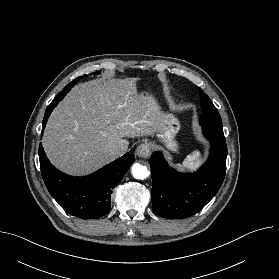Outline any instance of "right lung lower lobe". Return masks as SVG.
Instances as JSON below:
<instances>
[{
    "instance_id": "obj_1",
    "label": "right lung lower lobe",
    "mask_w": 279,
    "mask_h": 279,
    "mask_svg": "<svg viewBox=\"0 0 279 279\" xmlns=\"http://www.w3.org/2000/svg\"><path fill=\"white\" fill-rule=\"evenodd\" d=\"M70 89L59 93L47 107L42 133L52 110ZM38 154L48 191L66 212L81 219H96L110 211L112 190L135 161L134 155L127 153L91 175L72 177L60 172L49 162L41 143Z\"/></svg>"
}]
</instances>
